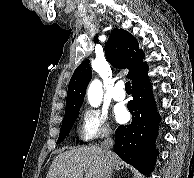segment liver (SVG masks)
I'll use <instances>...</instances> for the list:
<instances>
[{
	"label": "liver",
	"mask_w": 194,
	"mask_h": 178,
	"mask_svg": "<svg viewBox=\"0 0 194 178\" xmlns=\"http://www.w3.org/2000/svg\"><path fill=\"white\" fill-rule=\"evenodd\" d=\"M112 168L119 169L121 159L111 152ZM105 158L99 146H84L57 155L46 178H102ZM85 174V175H84Z\"/></svg>",
	"instance_id": "6515ba94"
}]
</instances>
